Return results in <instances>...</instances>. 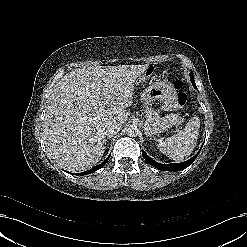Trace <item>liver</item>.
<instances>
[{
	"label": "liver",
	"mask_w": 247,
	"mask_h": 247,
	"mask_svg": "<svg viewBox=\"0 0 247 247\" xmlns=\"http://www.w3.org/2000/svg\"><path fill=\"white\" fill-rule=\"evenodd\" d=\"M148 66H90L67 73L55 85L43 120L49 158L72 172L99 162L105 125L127 120L134 83Z\"/></svg>",
	"instance_id": "obj_1"
}]
</instances>
